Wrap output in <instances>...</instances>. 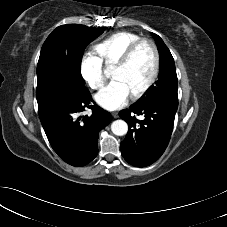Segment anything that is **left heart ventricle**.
<instances>
[{
  "instance_id": "1",
  "label": "left heart ventricle",
  "mask_w": 227,
  "mask_h": 227,
  "mask_svg": "<svg viewBox=\"0 0 227 227\" xmlns=\"http://www.w3.org/2000/svg\"><path fill=\"white\" fill-rule=\"evenodd\" d=\"M153 64L154 57L151 47L148 44H142L127 66L114 67L112 78L120 80L130 94H133L147 82L151 76Z\"/></svg>"
}]
</instances>
